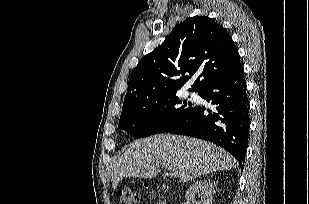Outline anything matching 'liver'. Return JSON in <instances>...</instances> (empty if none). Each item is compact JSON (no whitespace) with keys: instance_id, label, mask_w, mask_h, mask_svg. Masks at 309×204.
I'll use <instances>...</instances> for the list:
<instances>
[{"instance_id":"6515ba94","label":"liver","mask_w":309,"mask_h":204,"mask_svg":"<svg viewBox=\"0 0 309 204\" xmlns=\"http://www.w3.org/2000/svg\"><path fill=\"white\" fill-rule=\"evenodd\" d=\"M160 166L170 167L180 182L236 167L235 159L215 144L200 139L159 134L134 141L112 169L115 190L123 178H153Z\"/></svg>"}]
</instances>
